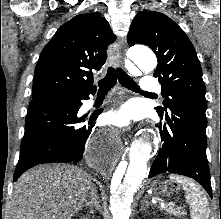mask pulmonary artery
I'll list each match as a JSON object with an SVG mask.
<instances>
[{
	"instance_id": "e3ab8cb5",
	"label": "pulmonary artery",
	"mask_w": 221,
	"mask_h": 219,
	"mask_svg": "<svg viewBox=\"0 0 221 219\" xmlns=\"http://www.w3.org/2000/svg\"><path fill=\"white\" fill-rule=\"evenodd\" d=\"M141 88L142 91L148 95H156L161 92L162 87L157 78L145 75L142 78Z\"/></svg>"
}]
</instances>
